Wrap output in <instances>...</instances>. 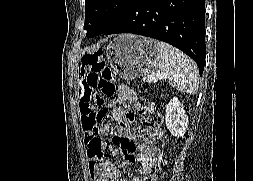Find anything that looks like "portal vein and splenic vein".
I'll return each instance as SVG.
<instances>
[{"instance_id":"18ae733b","label":"portal vein and splenic vein","mask_w":253,"mask_h":181,"mask_svg":"<svg viewBox=\"0 0 253 181\" xmlns=\"http://www.w3.org/2000/svg\"><path fill=\"white\" fill-rule=\"evenodd\" d=\"M158 78H163V77H160V76H158V75H156V74H153V75H151L148 79L151 81V82H157L158 81Z\"/></svg>"}]
</instances>
